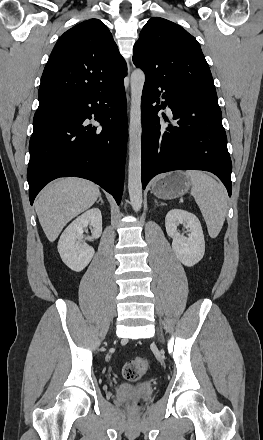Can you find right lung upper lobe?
Listing matches in <instances>:
<instances>
[{"label": "right lung upper lobe", "instance_id": "cb5924a9", "mask_svg": "<svg viewBox=\"0 0 263 440\" xmlns=\"http://www.w3.org/2000/svg\"><path fill=\"white\" fill-rule=\"evenodd\" d=\"M127 75V66L107 26L84 21L57 41L44 68L39 107L112 85Z\"/></svg>", "mask_w": 263, "mask_h": 440}]
</instances>
